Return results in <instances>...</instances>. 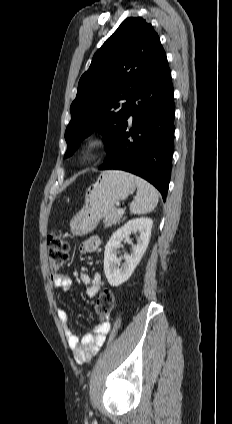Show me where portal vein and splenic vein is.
Here are the masks:
<instances>
[{
    "label": "portal vein and splenic vein",
    "instance_id": "portal-vein-and-splenic-vein-1",
    "mask_svg": "<svg viewBox=\"0 0 232 424\" xmlns=\"http://www.w3.org/2000/svg\"><path fill=\"white\" fill-rule=\"evenodd\" d=\"M118 214H121V215H123L124 214V209H118Z\"/></svg>",
    "mask_w": 232,
    "mask_h": 424
}]
</instances>
